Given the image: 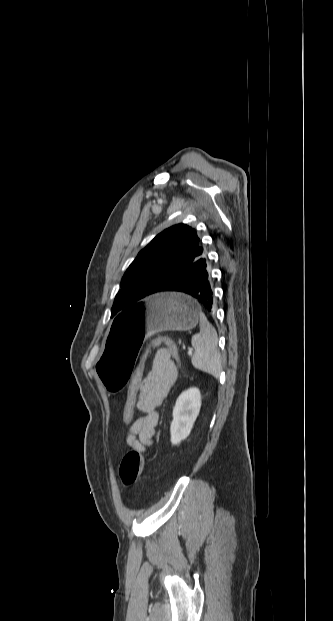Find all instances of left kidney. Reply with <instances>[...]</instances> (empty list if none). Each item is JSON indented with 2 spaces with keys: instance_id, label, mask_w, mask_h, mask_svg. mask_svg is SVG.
I'll return each instance as SVG.
<instances>
[{
  "instance_id": "1",
  "label": "left kidney",
  "mask_w": 333,
  "mask_h": 621,
  "mask_svg": "<svg viewBox=\"0 0 333 621\" xmlns=\"http://www.w3.org/2000/svg\"><path fill=\"white\" fill-rule=\"evenodd\" d=\"M200 408L201 393L198 388H190L179 395L173 409V420L170 426L173 445L179 444L190 435Z\"/></svg>"
}]
</instances>
